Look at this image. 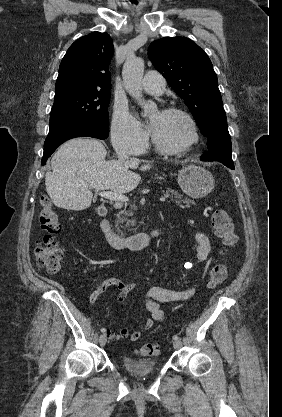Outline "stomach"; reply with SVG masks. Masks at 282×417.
I'll return each mask as SVG.
<instances>
[{
	"instance_id": "0dacf381",
	"label": "stomach",
	"mask_w": 282,
	"mask_h": 417,
	"mask_svg": "<svg viewBox=\"0 0 282 417\" xmlns=\"http://www.w3.org/2000/svg\"><path fill=\"white\" fill-rule=\"evenodd\" d=\"M178 182L183 192L192 198H203L215 186L213 174L206 168L195 166V164H188L179 170Z\"/></svg>"
}]
</instances>
